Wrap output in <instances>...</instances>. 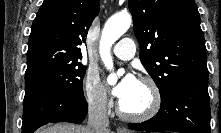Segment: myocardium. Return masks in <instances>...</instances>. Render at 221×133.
<instances>
[{
    "mask_svg": "<svg viewBox=\"0 0 221 133\" xmlns=\"http://www.w3.org/2000/svg\"><path fill=\"white\" fill-rule=\"evenodd\" d=\"M139 82L142 84L146 85L150 91L151 95V101L149 106L142 112H137V113H132L126 111L123 106L121 101L118 103L117 106V113L118 115L129 121H146L151 118H153L160 110L161 104H162V95L160 88L156 81L150 77H141L139 79Z\"/></svg>",
    "mask_w": 221,
    "mask_h": 133,
    "instance_id": "obj_1",
    "label": "myocardium"
}]
</instances>
